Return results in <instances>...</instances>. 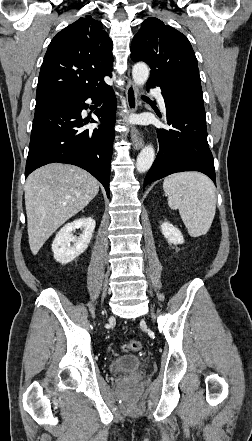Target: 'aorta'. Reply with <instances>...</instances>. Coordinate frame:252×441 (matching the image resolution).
Returning <instances> with one entry per match:
<instances>
[{"instance_id":"1","label":"aorta","mask_w":252,"mask_h":441,"mask_svg":"<svg viewBox=\"0 0 252 441\" xmlns=\"http://www.w3.org/2000/svg\"><path fill=\"white\" fill-rule=\"evenodd\" d=\"M133 81L137 86H142L146 83L149 77V69L145 63H137L132 69ZM155 159V151L151 145L145 146L139 153L136 161L137 171L140 173L146 172L150 169Z\"/></svg>"}]
</instances>
